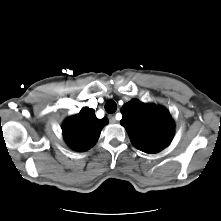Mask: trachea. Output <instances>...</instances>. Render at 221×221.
Returning <instances> with one entry per match:
<instances>
[{
	"mask_svg": "<svg viewBox=\"0 0 221 221\" xmlns=\"http://www.w3.org/2000/svg\"><path fill=\"white\" fill-rule=\"evenodd\" d=\"M117 110V104L113 100H108L105 104V111L109 114L114 113Z\"/></svg>",
	"mask_w": 221,
	"mask_h": 221,
	"instance_id": "3493384b",
	"label": "trachea"
}]
</instances>
